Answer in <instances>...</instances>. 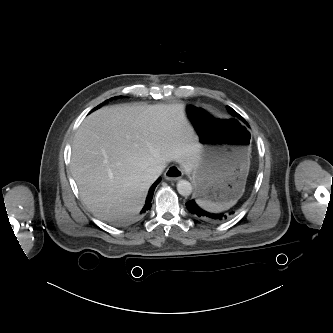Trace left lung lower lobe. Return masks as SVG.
Listing matches in <instances>:
<instances>
[{
    "instance_id": "1",
    "label": "left lung lower lobe",
    "mask_w": 333,
    "mask_h": 333,
    "mask_svg": "<svg viewBox=\"0 0 333 333\" xmlns=\"http://www.w3.org/2000/svg\"><path fill=\"white\" fill-rule=\"evenodd\" d=\"M186 207L189 210V212L203 220H207V221H213V222H220V221H224L228 218H230V216L232 214H234V212H227V213H220V214H213V213H209L206 212L204 210H202L194 200H190L186 203Z\"/></svg>"
}]
</instances>
